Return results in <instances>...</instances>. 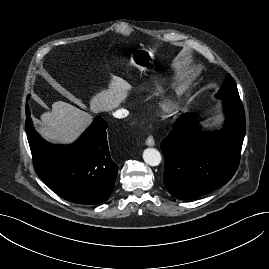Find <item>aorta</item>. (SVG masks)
Segmentation results:
<instances>
[{
	"label": "aorta",
	"instance_id": "obj_1",
	"mask_svg": "<svg viewBox=\"0 0 269 269\" xmlns=\"http://www.w3.org/2000/svg\"><path fill=\"white\" fill-rule=\"evenodd\" d=\"M143 160L150 166H158L161 163V154L155 148H147L143 151Z\"/></svg>",
	"mask_w": 269,
	"mask_h": 269
}]
</instances>
